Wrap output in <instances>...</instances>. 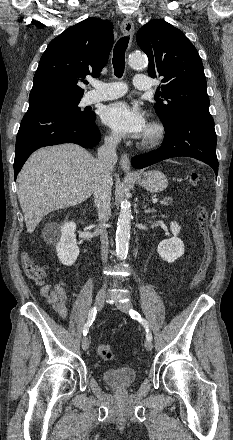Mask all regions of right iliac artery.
Returning <instances> with one entry per match:
<instances>
[{
  "label": "right iliac artery",
  "mask_w": 233,
  "mask_h": 440,
  "mask_svg": "<svg viewBox=\"0 0 233 440\" xmlns=\"http://www.w3.org/2000/svg\"><path fill=\"white\" fill-rule=\"evenodd\" d=\"M96 313H97L96 307H92L89 311V314H88V320L83 328V335L84 336H86L87 333L89 332V327L91 326V324L95 320Z\"/></svg>",
  "instance_id": "obj_1"
}]
</instances>
